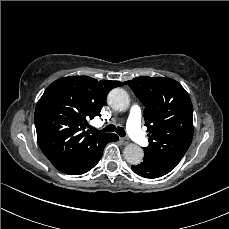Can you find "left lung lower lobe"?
<instances>
[{
    "label": "left lung lower lobe",
    "instance_id": "0a47b994",
    "mask_svg": "<svg viewBox=\"0 0 229 229\" xmlns=\"http://www.w3.org/2000/svg\"><path fill=\"white\" fill-rule=\"evenodd\" d=\"M132 170L145 178H159L165 174L157 171L155 168H153L149 163L143 161L142 163H140L139 165H132Z\"/></svg>",
    "mask_w": 229,
    "mask_h": 229
}]
</instances>
